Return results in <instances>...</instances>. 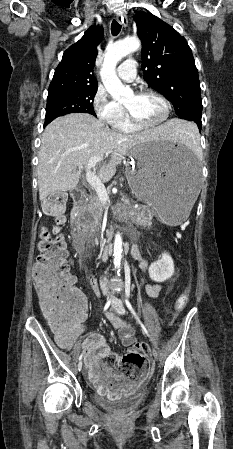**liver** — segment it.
<instances>
[{"instance_id": "obj_1", "label": "liver", "mask_w": 233, "mask_h": 449, "mask_svg": "<svg viewBox=\"0 0 233 449\" xmlns=\"http://www.w3.org/2000/svg\"><path fill=\"white\" fill-rule=\"evenodd\" d=\"M178 120L138 134L125 135L109 129L87 113H73L52 121L44 130L39 150V198L73 190L79 182L76 168L95 156L109 157L102 163L98 178L109 181L128 151L143 142H169L178 135Z\"/></svg>"}]
</instances>
